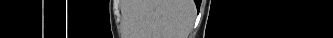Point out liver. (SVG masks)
Returning a JSON list of instances; mask_svg holds the SVG:
<instances>
[{"label": "liver", "instance_id": "obj_1", "mask_svg": "<svg viewBox=\"0 0 333 38\" xmlns=\"http://www.w3.org/2000/svg\"><path fill=\"white\" fill-rule=\"evenodd\" d=\"M194 19L193 0H137L133 13L137 38H187Z\"/></svg>", "mask_w": 333, "mask_h": 38}]
</instances>
